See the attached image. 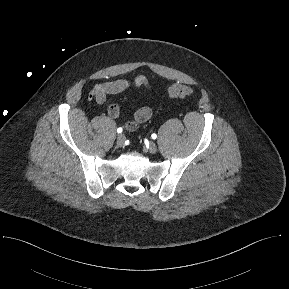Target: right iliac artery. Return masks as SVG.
Instances as JSON below:
<instances>
[{"label":"right iliac artery","mask_w":289,"mask_h":289,"mask_svg":"<svg viewBox=\"0 0 289 289\" xmlns=\"http://www.w3.org/2000/svg\"><path fill=\"white\" fill-rule=\"evenodd\" d=\"M123 131V129L121 128V127H119L118 129H117V132L118 133H121Z\"/></svg>","instance_id":"right-iliac-artery-1"}]
</instances>
